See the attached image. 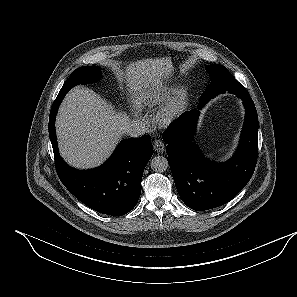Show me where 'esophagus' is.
<instances>
[{
	"instance_id": "esophagus-1",
	"label": "esophagus",
	"mask_w": 297,
	"mask_h": 297,
	"mask_svg": "<svg viewBox=\"0 0 297 297\" xmlns=\"http://www.w3.org/2000/svg\"><path fill=\"white\" fill-rule=\"evenodd\" d=\"M153 148L156 152L163 153L165 150L164 143L160 139H156L153 142Z\"/></svg>"
}]
</instances>
